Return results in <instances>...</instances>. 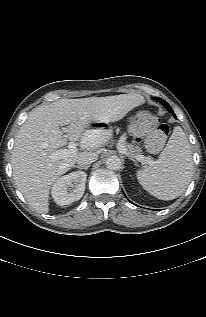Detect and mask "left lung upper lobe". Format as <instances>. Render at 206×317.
I'll list each match as a JSON object with an SVG mask.
<instances>
[{"instance_id":"left-lung-upper-lobe-1","label":"left lung upper lobe","mask_w":206,"mask_h":317,"mask_svg":"<svg viewBox=\"0 0 206 317\" xmlns=\"http://www.w3.org/2000/svg\"><path fill=\"white\" fill-rule=\"evenodd\" d=\"M155 99L158 100L160 103H162L167 108L168 111H170L171 113H174L172 108L169 106V104L165 102L163 99L157 98V97Z\"/></svg>"}]
</instances>
